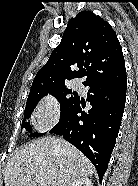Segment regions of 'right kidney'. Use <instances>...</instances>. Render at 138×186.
Returning <instances> with one entry per match:
<instances>
[{"mask_svg":"<svg viewBox=\"0 0 138 186\" xmlns=\"http://www.w3.org/2000/svg\"><path fill=\"white\" fill-rule=\"evenodd\" d=\"M68 186H93V185L90 179L83 177V178L75 179Z\"/></svg>","mask_w":138,"mask_h":186,"instance_id":"ca27d5eb","label":"right kidney"}]
</instances>
